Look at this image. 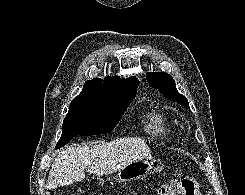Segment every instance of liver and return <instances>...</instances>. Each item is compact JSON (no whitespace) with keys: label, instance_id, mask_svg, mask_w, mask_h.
I'll return each instance as SVG.
<instances>
[{"label":"liver","instance_id":"6515ba94","mask_svg":"<svg viewBox=\"0 0 245 195\" xmlns=\"http://www.w3.org/2000/svg\"><path fill=\"white\" fill-rule=\"evenodd\" d=\"M151 158V150L141 138H120L94 145H73L58 153L51 166L48 189L79 182L85 169L96 175H108L128 164Z\"/></svg>","mask_w":245,"mask_h":195}]
</instances>
